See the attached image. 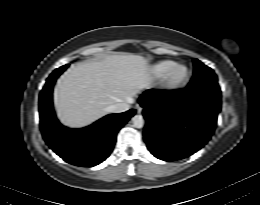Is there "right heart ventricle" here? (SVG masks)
<instances>
[{"instance_id":"e07e8e85","label":"right heart ventricle","mask_w":260,"mask_h":205,"mask_svg":"<svg viewBox=\"0 0 260 205\" xmlns=\"http://www.w3.org/2000/svg\"><path fill=\"white\" fill-rule=\"evenodd\" d=\"M175 64L172 60L159 61L151 66L150 75L154 79H162Z\"/></svg>"}]
</instances>
